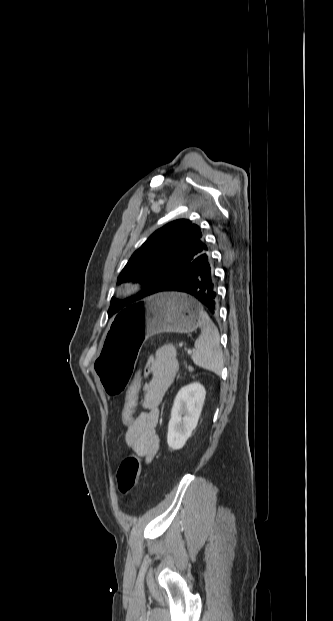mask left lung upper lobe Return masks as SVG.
Returning a JSON list of instances; mask_svg holds the SVG:
<instances>
[{"label":"left lung upper lobe","mask_w":333,"mask_h":621,"mask_svg":"<svg viewBox=\"0 0 333 621\" xmlns=\"http://www.w3.org/2000/svg\"><path fill=\"white\" fill-rule=\"evenodd\" d=\"M205 249H209L200 227L178 219L155 231L137 249L120 273L117 283L136 280L143 284L137 298L111 299L108 315L132 306L137 300L159 293L172 278L185 271Z\"/></svg>","instance_id":"5c2ea615"}]
</instances>
